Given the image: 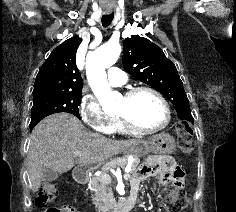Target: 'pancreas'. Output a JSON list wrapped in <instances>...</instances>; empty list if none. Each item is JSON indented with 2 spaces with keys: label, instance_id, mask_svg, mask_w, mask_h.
I'll list each match as a JSON object with an SVG mask.
<instances>
[{
  "label": "pancreas",
  "instance_id": "pancreas-1",
  "mask_svg": "<svg viewBox=\"0 0 236 212\" xmlns=\"http://www.w3.org/2000/svg\"><path fill=\"white\" fill-rule=\"evenodd\" d=\"M127 163V158H122L119 162V166L124 168ZM139 165V159L135 158L131 171L129 173V178H131L132 174L137 172V167ZM103 176V175H102ZM102 176L92 177L89 180V184L91 186L92 191V201L95 207L99 212L106 211L110 208V198L112 196L111 189L108 187L109 181H104ZM128 178V179H129Z\"/></svg>",
  "mask_w": 236,
  "mask_h": 212
}]
</instances>
